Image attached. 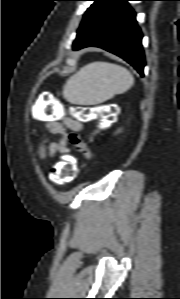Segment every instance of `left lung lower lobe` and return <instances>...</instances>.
<instances>
[{
  "instance_id": "obj_1",
  "label": "left lung lower lobe",
  "mask_w": 180,
  "mask_h": 299,
  "mask_svg": "<svg viewBox=\"0 0 180 299\" xmlns=\"http://www.w3.org/2000/svg\"><path fill=\"white\" fill-rule=\"evenodd\" d=\"M87 10L73 42V50L95 46L103 48L130 63L144 75L145 57L142 33L131 0H94Z\"/></svg>"
}]
</instances>
